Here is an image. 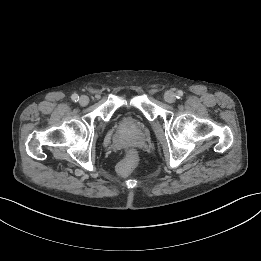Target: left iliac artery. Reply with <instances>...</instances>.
<instances>
[{"label":"left iliac artery","mask_w":261,"mask_h":261,"mask_svg":"<svg viewBox=\"0 0 261 261\" xmlns=\"http://www.w3.org/2000/svg\"><path fill=\"white\" fill-rule=\"evenodd\" d=\"M182 96H183V92H182L181 90H179V91L176 93V97H177L178 99H180V98H182Z\"/></svg>","instance_id":"1"}]
</instances>
